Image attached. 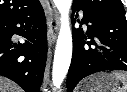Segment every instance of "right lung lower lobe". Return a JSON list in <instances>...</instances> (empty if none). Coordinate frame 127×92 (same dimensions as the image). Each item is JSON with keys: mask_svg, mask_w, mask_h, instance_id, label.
Returning a JSON list of instances; mask_svg holds the SVG:
<instances>
[{"mask_svg": "<svg viewBox=\"0 0 127 92\" xmlns=\"http://www.w3.org/2000/svg\"><path fill=\"white\" fill-rule=\"evenodd\" d=\"M13 35L25 42H15ZM46 56V19L40 3L32 11L0 21V75L26 92H39Z\"/></svg>", "mask_w": 127, "mask_h": 92, "instance_id": "1", "label": "right lung lower lobe"}]
</instances>
